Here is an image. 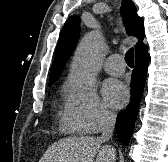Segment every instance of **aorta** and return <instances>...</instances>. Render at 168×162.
<instances>
[{"instance_id": "aorta-1", "label": "aorta", "mask_w": 168, "mask_h": 162, "mask_svg": "<svg viewBox=\"0 0 168 162\" xmlns=\"http://www.w3.org/2000/svg\"><path fill=\"white\" fill-rule=\"evenodd\" d=\"M103 50L104 40L97 31H91L83 38L76 49L71 67V75L77 84L89 87L93 83Z\"/></svg>"}]
</instances>
